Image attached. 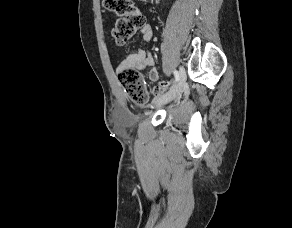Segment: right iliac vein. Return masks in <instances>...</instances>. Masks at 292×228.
<instances>
[{
	"mask_svg": "<svg viewBox=\"0 0 292 228\" xmlns=\"http://www.w3.org/2000/svg\"><path fill=\"white\" fill-rule=\"evenodd\" d=\"M186 84V74L184 71V68H180V79L178 81V83L167 93L165 94L163 97H161L158 101V103H166L170 100H172L173 98L177 97L182 89L184 88Z\"/></svg>",
	"mask_w": 292,
	"mask_h": 228,
	"instance_id": "63e3f726",
	"label": "right iliac vein"
}]
</instances>
